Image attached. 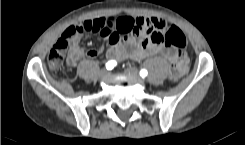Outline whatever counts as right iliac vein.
Masks as SVG:
<instances>
[{
    "label": "right iliac vein",
    "mask_w": 245,
    "mask_h": 145,
    "mask_svg": "<svg viewBox=\"0 0 245 145\" xmlns=\"http://www.w3.org/2000/svg\"><path fill=\"white\" fill-rule=\"evenodd\" d=\"M109 72L107 69H102L99 74H98V77L99 79H104L108 76Z\"/></svg>",
    "instance_id": "right-iliac-vein-1"
}]
</instances>
